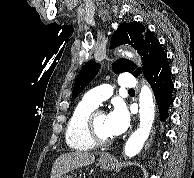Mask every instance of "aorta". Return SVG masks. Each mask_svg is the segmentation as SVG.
<instances>
[{"label": "aorta", "instance_id": "aorta-1", "mask_svg": "<svg viewBox=\"0 0 194 178\" xmlns=\"http://www.w3.org/2000/svg\"><path fill=\"white\" fill-rule=\"evenodd\" d=\"M121 52L122 55H126L128 58L133 57L131 52ZM139 107V127L131 134L124 147V154L127 157H133L141 151L145 141L149 137L154 121L155 105L153 101V93L147 84H143L141 87L139 94Z\"/></svg>", "mask_w": 194, "mask_h": 178}]
</instances>
